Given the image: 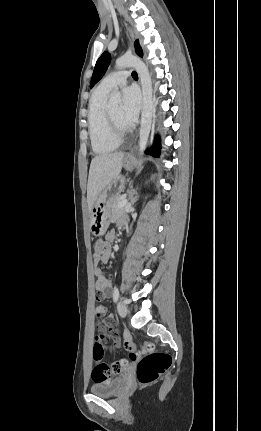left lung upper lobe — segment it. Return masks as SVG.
<instances>
[{"mask_svg":"<svg viewBox=\"0 0 261 431\" xmlns=\"http://www.w3.org/2000/svg\"><path fill=\"white\" fill-rule=\"evenodd\" d=\"M135 47L137 49V52L140 53V55L142 56V50L139 46L138 40L135 41ZM111 61V56L109 52H104L100 58L97 60L94 71H93V75L91 78V83H90V87L92 88L95 83H97L102 76L105 74L109 64Z\"/></svg>","mask_w":261,"mask_h":431,"instance_id":"5c2ea615","label":"left lung upper lobe"}]
</instances>
